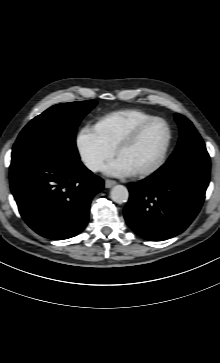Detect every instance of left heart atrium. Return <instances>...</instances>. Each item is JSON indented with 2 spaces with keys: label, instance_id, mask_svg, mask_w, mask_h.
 Listing matches in <instances>:
<instances>
[{
  "label": "left heart atrium",
  "instance_id": "1",
  "mask_svg": "<svg viewBox=\"0 0 220 363\" xmlns=\"http://www.w3.org/2000/svg\"><path fill=\"white\" fill-rule=\"evenodd\" d=\"M104 172L107 175L123 177L133 174L134 171L121 158L117 157L104 167Z\"/></svg>",
  "mask_w": 220,
  "mask_h": 363
}]
</instances>
